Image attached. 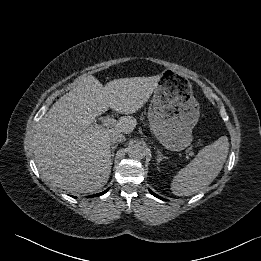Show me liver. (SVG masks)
Wrapping results in <instances>:
<instances>
[{
    "instance_id": "6515ba94",
    "label": "liver",
    "mask_w": 261,
    "mask_h": 261,
    "mask_svg": "<svg viewBox=\"0 0 261 261\" xmlns=\"http://www.w3.org/2000/svg\"><path fill=\"white\" fill-rule=\"evenodd\" d=\"M160 75L121 78L103 86L84 74L76 87L58 99L36 126L35 162L42 178L71 193L102 188L111 173L110 135L131 133L137 121L125 116L114 128L94 123L110 107L121 114L137 112L150 98Z\"/></svg>"
}]
</instances>
